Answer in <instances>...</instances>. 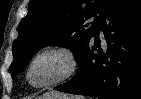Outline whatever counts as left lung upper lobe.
I'll return each mask as SVG.
<instances>
[{"mask_svg":"<svg viewBox=\"0 0 141 99\" xmlns=\"http://www.w3.org/2000/svg\"><path fill=\"white\" fill-rule=\"evenodd\" d=\"M117 0H31L28 14L19 26L14 42L12 78L20 72L37 50L46 45L68 47L79 60L105 11ZM99 14V16H97ZM95 17L90 24L86 20Z\"/></svg>","mask_w":141,"mask_h":99,"instance_id":"obj_1","label":"left lung upper lobe"}]
</instances>
